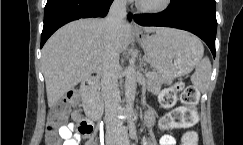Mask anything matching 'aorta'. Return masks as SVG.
<instances>
[{"label":"aorta","mask_w":243,"mask_h":145,"mask_svg":"<svg viewBox=\"0 0 243 145\" xmlns=\"http://www.w3.org/2000/svg\"><path fill=\"white\" fill-rule=\"evenodd\" d=\"M136 88H137L136 69L134 63H130V65L126 69V77H125L126 106L128 111L130 112L133 111Z\"/></svg>","instance_id":"1"}]
</instances>
